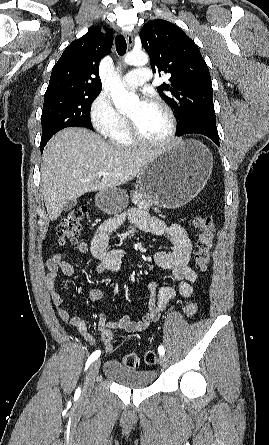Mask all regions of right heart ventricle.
Returning a JSON list of instances; mask_svg holds the SVG:
<instances>
[{
  "label": "right heart ventricle",
  "instance_id": "e07e8e85",
  "mask_svg": "<svg viewBox=\"0 0 269 445\" xmlns=\"http://www.w3.org/2000/svg\"><path fill=\"white\" fill-rule=\"evenodd\" d=\"M107 136L113 144L122 147H130L136 143L129 130L127 120L124 117L118 126L107 133Z\"/></svg>",
  "mask_w": 269,
  "mask_h": 445
}]
</instances>
